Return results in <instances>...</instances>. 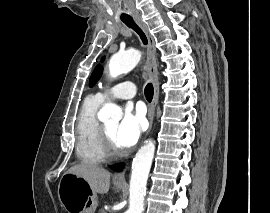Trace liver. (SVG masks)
<instances>
[{"mask_svg": "<svg viewBox=\"0 0 270 213\" xmlns=\"http://www.w3.org/2000/svg\"><path fill=\"white\" fill-rule=\"evenodd\" d=\"M66 173L83 178L95 194H105L109 191L110 172L102 167L83 162L72 166Z\"/></svg>", "mask_w": 270, "mask_h": 213, "instance_id": "obj_1", "label": "liver"}]
</instances>
